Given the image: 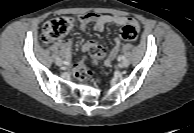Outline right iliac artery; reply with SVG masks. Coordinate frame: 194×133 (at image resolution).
Instances as JSON below:
<instances>
[{
    "mask_svg": "<svg viewBox=\"0 0 194 133\" xmlns=\"http://www.w3.org/2000/svg\"><path fill=\"white\" fill-rule=\"evenodd\" d=\"M65 64H68V62L64 61Z\"/></svg>",
    "mask_w": 194,
    "mask_h": 133,
    "instance_id": "obj_1",
    "label": "right iliac artery"
}]
</instances>
